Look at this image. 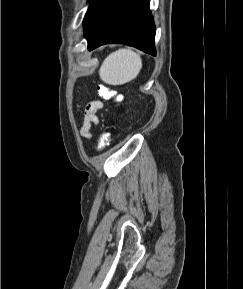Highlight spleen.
I'll return each mask as SVG.
<instances>
[{
    "label": "spleen",
    "mask_w": 243,
    "mask_h": 289,
    "mask_svg": "<svg viewBox=\"0 0 243 289\" xmlns=\"http://www.w3.org/2000/svg\"><path fill=\"white\" fill-rule=\"evenodd\" d=\"M142 69L141 57L131 49H119L102 63L99 76L110 85H122L135 79Z\"/></svg>",
    "instance_id": "1"
}]
</instances>
